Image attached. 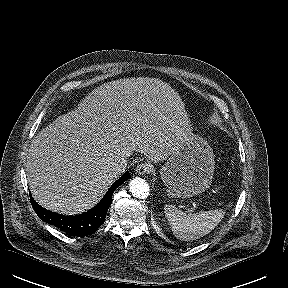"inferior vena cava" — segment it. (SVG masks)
<instances>
[{
	"mask_svg": "<svg viewBox=\"0 0 288 288\" xmlns=\"http://www.w3.org/2000/svg\"><path fill=\"white\" fill-rule=\"evenodd\" d=\"M128 160L126 158H119L112 162L110 166V173L111 174H118V173H123L127 167Z\"/></svg>",
	"mask_w": 288,
	"mask_h": 288,
	"instance_id": "inferior-vena-cava-1",
	"label": "inferior vena cava"
}]
</instances>
